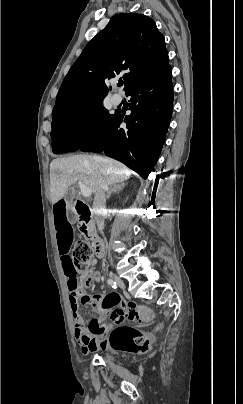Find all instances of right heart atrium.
I'll return each mask as SVG.
<instances>
[{"mask_svg":"<svg viewBox=\"0 0 243 404\" xmlns=\"http://www.w3.org/2000/svg\"><path fill=\"white\" fill-rule=\"evenodd\" d=\"M96 120V115L91 109L80 111L73 122V132L83 136L90 132Z\"/></svg>","mask_w":243,"mask_h":404,"instance_id":"1","label":"right heart atrium"}]
</instances>
